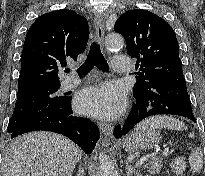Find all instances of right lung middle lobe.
<instances>
[{"mask_svg": "<svg viewBox=\"0 0 205 176\" xmlns=\"http://www.w3.org/2000/svg\"><path fill=\"white\" fill-rule=\"evenodd\" d=\"M59 88L60 85L18 96L7 131L14 132L50 104L63 102L65 97L56 94Z\"/></svg>", "mask_w": 205, "mask_h": 176, "instance_id": "right-lung-middle-lobe-1", "label": "right lung middle lobe"}]
</instances>
